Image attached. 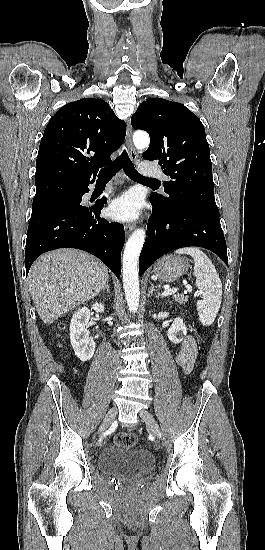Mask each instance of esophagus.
Instances as JSON below:
<instances>
[{
    "mask_svg": "<svg viewBox=\"0 0 265 550\" xmlns=\"http://www.w3.org/2000/svg\"><path fill=\"white\" fill-rule=\"evenodd\" d=\"M126 146L128 148V151H129V155H130V158L132 160H136L138 155H137V152L133 146V142H132V127H131V124L130 122L128 121V124H127V131H126ZM134 229V226L133 225H128L125 227V233L126 235H128L129 233L132 232V230Z\"/></svg>",
    "mask_w": 265,
    "mask_h": 550,
    "instance_id": "esophagus-1",
    "label": "esophagus"
}]
</instances>
